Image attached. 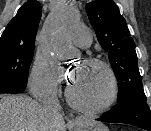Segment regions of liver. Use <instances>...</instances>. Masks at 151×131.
Wrapping results in <instances>:
<instances>
[{"mask_svg": "<svg viewBox=\"0 0 151 131\" xmlns=\"http://www.w3.org/2000/svg\"><path fill=\"white\" fill-rule=\"evenodd\" d=\"M61 116V115H60ZM63 118L55 119L28 96L6 95L0 100V131H64Z\"/></svg>", "mask_w": 151, "mask_h": 131, "instance_id": "obj_1", "label": "liver"}]
</instances>
